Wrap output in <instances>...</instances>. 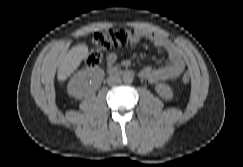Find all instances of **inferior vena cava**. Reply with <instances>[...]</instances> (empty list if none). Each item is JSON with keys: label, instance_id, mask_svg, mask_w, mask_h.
<instances>
[{"label": "inferior vena cava", "instance_id": "602c4592", "mask_svg": "<svg viewBox=\"0 0 243 167\" xmlns=\"http://www.w3.org/2000/svg\"><path fill=\"white\" fill-rule=\"evenodd\" d=\"M121 82V78L118 76H110L107 80L108 85H116Z\"/></svg>", "mask_w": 243, "mask_h": 167}]
</instances>
